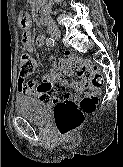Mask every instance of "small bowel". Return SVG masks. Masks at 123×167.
I'll list each match as a JSON object with an SVG mask.
<instances>
[{
	"label": "small bowel",
	"instance_id": "small-bowel-1",
	"mask_svg": "<svg viewBox=\"0 0 123 167\" xmlns=\"http://www.w3.org/2000/svg\"><path fill=\"white\" fill-rule=\"evenodd\" d=\"M22 25L25 31L22 36V48L24 51L31 53L33 51V38L30 31V24L26 19L22 20ZM37 43L41 45L43 43V38L39 37ZM52 62V68L49 73L44 77L43 82L36 84L33 81H26L23 78L18 80V90L23 95H28L33 98L51 101L53 103L59 102L58 96L55 94V87L60 85L62 88H70L74 90L77 94L82 93L85 89L90 88V84L84 79L65 81L59 68L56 65L55 59H50ZM95 94L99 93L97 88H93ZM65 100H72L74 96L71 94H65Z\"/></svg>",
	"mask_w": 123,
	"mask_h": 167
}]
</instances>
